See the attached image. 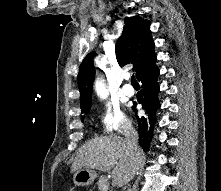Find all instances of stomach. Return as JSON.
<instances>
[{
  "label": "stomach",
  "mask_w": 221,
  "mask_h": 191,
  "mask_svg": "<svg viewBox=\"0 0 221 191\" xmlns=\"http://www.w3.org/2000/svg\"><path fill=\"white\" fill-rule=\"evenodd\" d=\"M97 178V173L88 168H82L77 170L73 175V181L77 186L91 185Z\"/></svg>",
  "instance_id": "stomach-1"
}]
</instances>
